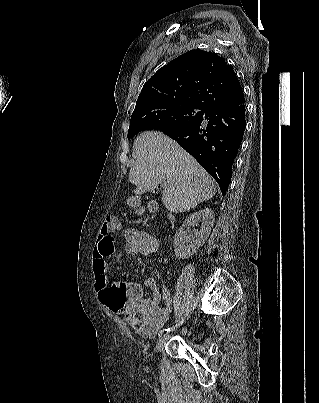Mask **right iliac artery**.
Masks as SVG:
<instances>
[{
	"mask_svg": "<svg viewBox=\"0 0 319 403\" xmlns=\"http://www.w3.org/2000/svg\"><path fill=\"white\" fill-rule=\"evenodd\" d=\"M177 326V325H176ZM172 328H167V329H163L159 332V337L166 334L167 332H170Z\"/></svg>",
	"mask_w": 319,
	"mask_h": 403,
	"instance_id": "82829eb1",
	"label": "right iliac artery"
}]
</instances>
